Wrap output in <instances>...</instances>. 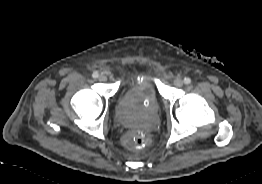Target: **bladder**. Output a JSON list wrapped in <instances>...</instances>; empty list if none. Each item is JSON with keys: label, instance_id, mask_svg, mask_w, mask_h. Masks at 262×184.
Here are the masks:
<instances>
[{"label": "bladder", "instance_id": "1", "mask_svg": "<svg viewBox=\"0 0 262 184\" xmlns=\"http://www.w3.org/2000/svg\"><path fill=\"white\" fill-rule=\"evenodd\" d=\"M137 94L146 97L154 105L159 103V88L154 78L148 74H135L124 81L121 98L130 99ZM118 118L119 122L127 127L139 125L136 118L125 115L122 110L119 111Z\"/></svg>", "mask_w": 262, "mask_h": 184}]
</instances>
